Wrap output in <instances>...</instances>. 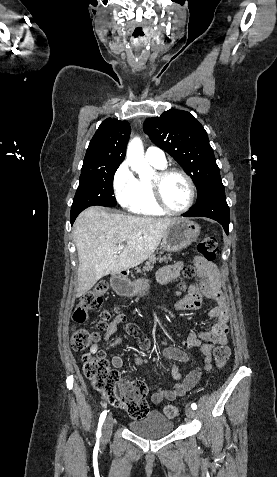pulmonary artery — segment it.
Masks as SVG:
<instances>
[{"label": "pulmonary artery", "instance_id": "pulmonary-artery-1", "mask_svg": "<svg viewBox=\"0 0 277 477\" xmlns=\"http://www.w3.org/2000/svg\"><path fill=\"white\" fill-rule=\"evenodd\" d=\"M145 158L150 164H154L160 167H164L166 165L165 154L158 147H149L145 152Z\"/></svg>", "mask_w": 277, "mask_h": 477}]
</instances>
